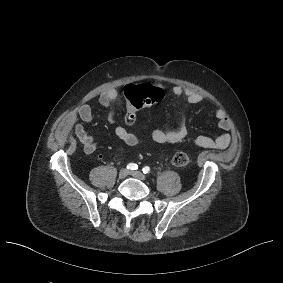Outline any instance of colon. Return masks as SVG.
I'll return each mask as SVG.
<instances>
[{
	"label": "colon",
	"mask_w": 283,
	"mask_h": 283,
	"mask_svg": "<svg viewBox=\"0 0 283 283\" xmlns=\"http://www.w3.org/2000/svg\"><path fill=\"white\" fill-rule=\"evenodd\" d=\"M124 96L127 101L125 121L133 124L136 120V110L160 102L164 97L161 88L148 83L129 84L124 88ZM191 163V156L187 151H178L172 157V164L177 168H183Z\"/></svg>",
	"instance_id": "1"
}]
</instances>
